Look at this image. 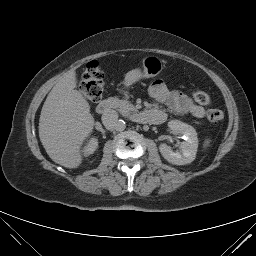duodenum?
I'll list each match as a JSON object with an SVG mask.
<instances>
[{"label": "duodenum", "instance_id": "410a0bca", "mask_svg": "<svg viewBox=\"0 0 256 256\" xmlns=\"http://www.w3.org/2000/svg\"><path fill=\"white\" fill-rule=\"evenodd\" d=\"M112 108V102L110 100H103L100 102L97 107L96 111L98 114H105L108 113ZM137 121L142 123H154V117L153 114L150 111H144L139 113L136 116Z\"/></svg>", "mask_w": 256, "mask_h": 256}]
</instances>
